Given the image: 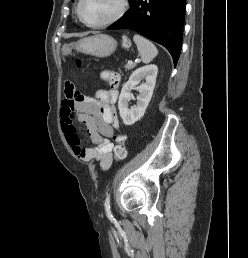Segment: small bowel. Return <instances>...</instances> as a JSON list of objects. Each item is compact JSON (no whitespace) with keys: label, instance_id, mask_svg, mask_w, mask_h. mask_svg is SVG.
<instances>
[{"label":"small bowel","instance_id":"1","mask_svg":"<svg viewBox=\"0 0 248 258\" xmlns=\"http://www.w3.org/2000/svg\"><path fill=\"white\" fill-rule=\"evenodd\" d=\"M117 99L116 89H101L96 92L95 97L80 98L74 86L66 84L61 108L62 130L66 141L76 158L83 162L98 161L102 170L109 169L112 164L114 144L111 138L118 128L115 111ZM75 122L86 126L93 143L91 147H82Z\"/></svg>","mask_w":248,"mask_h":258}]
</instances>
